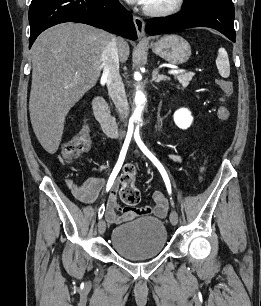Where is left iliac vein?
<instances>
[{
  "mask_svg": "<svg viewBox=\"0 0 261 306\" xmlns=\"http://www.w3.org/2000/svg\"><path fill=\"white\" fill-rule=\"evenodd\" d=\"M136 153L138 154V151H136ZM170 222L172 225H176L178 223V213L173 210L170 213Z\"/></svg>",
  "mask_w": 261,
  "mask_h": 306,
  "instance_id": "4c4485c4",
  "label": "left iliac vein"
}]
</instances>
